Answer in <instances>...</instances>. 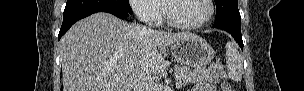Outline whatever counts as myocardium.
Masks as SVG:
<instances>
[{"instance_id":"1","label":"myocardium","mask_w":304,"mask_h":91,"mask_svg":"<svg viewBox=\"0 0 304 91\" xmlns=\"http://www.w3.org/2000/svg\"><path fill=\"white\" fill-rule=\"evenodd\" d=\"M175 1H178V0H166V1H163L166 21L173 28L183 29V30L198 29V28H201V27L205 26L212 19V17H213V14H214V5H213V3L214 2L212 0H204L205 3H206V5H207V7H208V13H207L206 17L203 20H201L200 22H198V23H194V24L182 23V22L176 20L173 17V15H172L171 5Z\"/></svg>"}]
</instances>
